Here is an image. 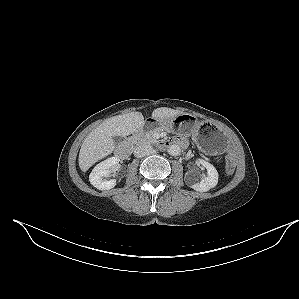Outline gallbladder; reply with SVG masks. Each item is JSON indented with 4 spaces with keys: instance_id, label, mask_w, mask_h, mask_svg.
I'll list each match as a JSON object with an SVG mask.
<instances>
[{
    "instance_id": "1",
    "label": "gallbladder",
    "mask_w": 299,
    "mask_h": 299,
    "mask_svg": "<svg viewBox=\"0 0 299 299\" xmlns=\"http://www.w3.org/2000/svg\"><path fill=\"white\" fill-rule=\"evenodd\" d=\"M113 141L116 143V144H119L123 141V137L121 136H113Z\"/></svg>"
}]
</instances>
